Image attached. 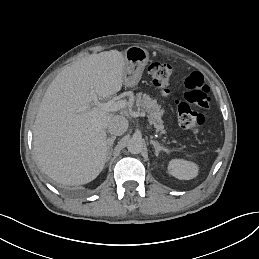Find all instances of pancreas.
<instances>
[{"label":"pancreas","mask_w":259,"mask_h":259,"mask_svg":"<svg viewBox=\"0 0 259 259\" xmlns=\"http://www.w3.org/2000/svg\"><path fill=\"white\" fill-rule=\"evenodd\" d=\"M136 105L140 108L145 109L149 122L151 124H154L157 131H161L164 129L160 106L157 105L156 101H152L150 96L145 94L142 95L140 93L136 100Z\"/></svg>","instance_id":"obj_1"}]
</instances>
